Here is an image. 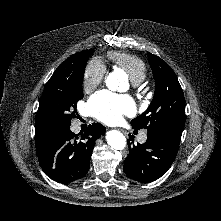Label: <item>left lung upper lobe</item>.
Instances as JSON below:
<instances>
[{
  "label": "left lung upper lobe",
  "mask_w": 221,
  "mask_h": 221,
  "mask_svg": "<svg viewBox=\"0 0 221 221\" xmlns=\"http://www.w3.org/2000/svg\"><path fill=\"white\" fill-rule=\"evenodd\" d=\"M155 79V94L148 109L131 121L134 129L148 131L158 128L183 130L185 99L176 74L158 56L148 53Z\"/></svg>",
  "instance_id": "1"
}]
</instances>
